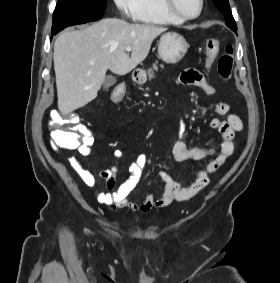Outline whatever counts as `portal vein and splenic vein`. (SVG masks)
I'll return each mask as SVG.
<instances>
[{"label": "portal vein and splenic vein", "mask_w": 280, "mask_h": 283, "mask_svg": "<svg viewBox=\"0 0 280 283\" xmlns=\"http://www.w3.org/2000/svg\"><path fill=\"white\" fill-rule=\"evenodd\" d=\"M132 50V48L130 46L126 47V51L130 52Z\"/></svg>", "instance_id": "18ae733b"}]
</instances>
